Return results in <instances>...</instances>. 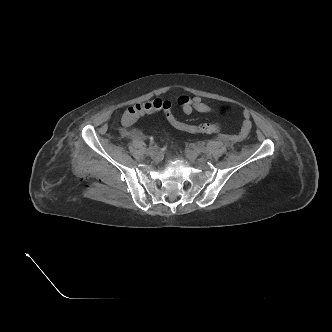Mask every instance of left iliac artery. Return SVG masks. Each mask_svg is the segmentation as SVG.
<instances>
[{"mask_svg":"<svg viewBox=\"0 0 332 332\" xmlns=\"http://www.w3.org/2000/svg\"><path fill=\"white\" fill-rule=\"evenodd\" d=\"M195 152L197 154H201V153L204 152V148L202 146H198V147L195 148Z\"/></svg>","mask_w":332,"mask_h":332,"instance_id":"44dca946","label":"left iliac artery"}]
</instances>
